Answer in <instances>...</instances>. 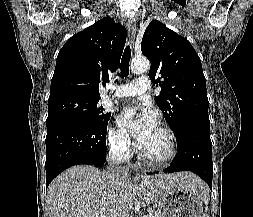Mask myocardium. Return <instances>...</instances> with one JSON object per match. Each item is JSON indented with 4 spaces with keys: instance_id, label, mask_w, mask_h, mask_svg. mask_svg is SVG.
Segmentation results:
<instances>
[{
    "instance_id": "f54148a6",
    "label": "myocardium",
    "mask_w": 253,
    "mask_h": 217,
    "mask_svg": "<svg viewBox=\"0 0 253 217\" xmlns=\"http://www.w3.org/2000/svg\"><path fill=\"white\" fill-rule=\"evenodd\" d=\"M158 127L166 134L168 143H169V151L168 154L162 158V159H151L148 158L141 150L139 143L136 144V150L139 159L149 165V166H154V167H161L169 164L175 157L176 152H177V143H176V137L174 135V132L172 129L165 125V124H159Z\"/></svg>"
}]
</instances>
